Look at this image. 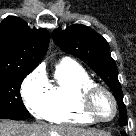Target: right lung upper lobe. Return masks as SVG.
I'll list each match as a JSON object with an SVG mask.
<instances>
[{"label":"right lung upper lobe","instance_id":"right-lung-upper-lobe-1","mask_svg":"<svg viewBox=\"0 0 136 136\" xmlns=\"http://www.w3.org/2000/svg\"><path fill=\"white\" fill-rule=\"evenodd\" d=\"M45 29H31L25 21L9 16L0 24V72H32L48 48Z\"/></svg>","mask_w":136,"mask_h":136}]
</instances>
